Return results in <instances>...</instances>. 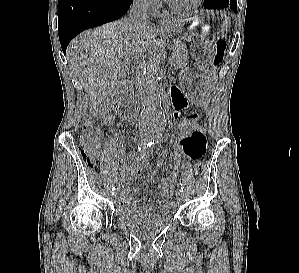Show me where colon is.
<instances>
[{"instance_id": "5ec220e1", "label": "colon", "mask_w": 299, "mask_h": 273, "mask_svg": "<svg viewBox=\"0 0 299 273\" xmlns=\"http://www.w3.org/2000/svg\"><path fill=\"white\" fill-rule=\"evenodd\" d=\"M226 51V42L218 40L215 44L211 62L218 64L222 61ZM200 115L196 111L189 112L180 121L178 128L180 139L188 137L195 129L199 127ZM79 150L82 157L91 165L95 166L98 163L100 155L99 135L94 126L86 122L78 133ZM206 170V163L202 160L194 164V173L196 176H202Z\"/></svg>"}]
</instances>
